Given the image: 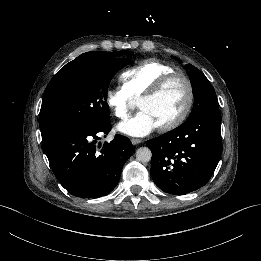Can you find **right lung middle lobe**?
Here are the masks:
<instances>
[{"instance_id":"obj_1","label":"right lung middle lobe","mask_w":261,"mask_h":261,"mask_svg":"<svg viewBox=\"0 0 261 261\" xmlns=\"http://www.w3.org/2000/svg\"><path fill=\"white\" fill-rule=\"evenodd\" d=\"M132 62L122 58L85 57L66 64L47 86L58 130L92 129L107 123L109 83L120 68ZM41 135L45 141L53 134L41 131Z\"/></svg>"}]
</instances>
